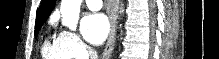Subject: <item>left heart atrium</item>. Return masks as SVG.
Segmentation results:
<instances>
[{
	"mask_svg": "<svg viewBox=\"0 0 219 59\" xmlns=\"http://www.w3.org/2000/svg\"><path fill=\"white\" fill-rule=\"evenodd\" d=\"M109 32L107 17L102 13H88L81 21V33L92 45L102 43Z\"/></svg>",
	"mask_w": 219,
	"mask_h": 59,
	"instance_id": "39dd6f15",
	"label": "left heart atrium"
}]
</instances>
